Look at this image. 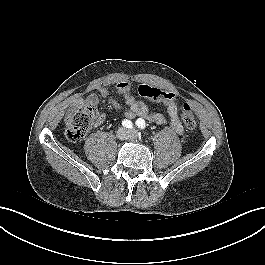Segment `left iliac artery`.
I'll list each match as a JSON object with an SVG mask.
<instances>
[{
    "label": "left iliac artery",
    "instance_id": "left-iliac-artery-1",
    "mask_svg": "<svg viewBox=\"0 0 265 265\" xmlns=\"http://www.w3.org/2000/svg\"><path fill=\"white\" fill-rule=\"evenodd\" d=\"M136 125L139 129H145V121L141 118L136 121Z\"/></svg>",
    "mask_w": 265,
    "mask_h": 265
}]
</instances>
